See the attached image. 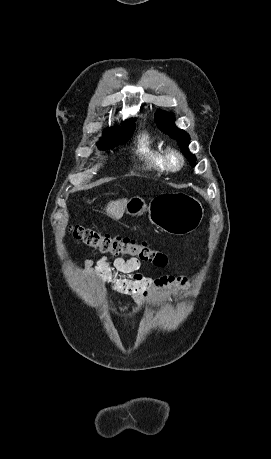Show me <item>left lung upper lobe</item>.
Segmentation results:
<instances>
[{
	"mask_svg": "<svg viewBox=\"0 0 271 459\" xmlns=\"http://www.w3.org/2000/svg\"><path fill=\"white\" fill-rule=\"evenodd\" d=\"M174 120L175 118L173 114L171 113L159 111L155 115V122L157 123V126L163 132L169 134L171 138L177 140L179 146L181 147L183 154L188 158L190 165L194 167L195 162H196V157L193 154H191L188 150L190 137L185 131L178 129L175 126Z\"/></svg>",
	"mask_w": 271,
	"mask_h": 459,
	"instance_id": "left-lung-upper-lobe-1",
	"label": "left lung upper lobe"
}]
</instances>
